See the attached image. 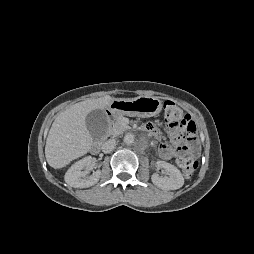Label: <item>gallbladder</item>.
<instances>
[{
    "instance_id": "bac80fb5",
    "label": "gallbladder",
    "mask_w": 254,
    "mask_h": 254,
    "mask_svg": "<svg viewBox=\"0 0 254 254\" xmlns=\"http://www.w3.org/2000/svg\"><path fill=\"white\" fill-rule=\"evenodd\" d=\"M86 127L91 136L96 140H101L106 136L108 118L104 110L94 109L86 116Z\"/></svg>"
}]
</instances>
